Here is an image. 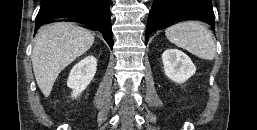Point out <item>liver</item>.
<instances>
[{
	"label": "liver",
	"mask_w": 257,
	"mask_h": 130,
	"mask_svg": "<svg viewBox=\"0 0 257 130\" xmlns=\"http://www.w3.org/2000/svg\"><path fill=\"white\" fill-rule=\"evenodd\" d=\"M94 43V35L72 23L60 22L42 27L32 52V65L38 87L45 97L51 93L59 73Z\"/></svg>",
	"instance_id": "1"
}]
</instances>
